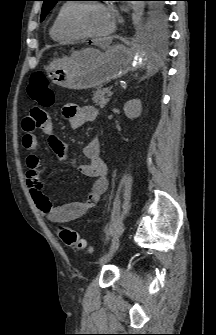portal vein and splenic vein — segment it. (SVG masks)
<instances>
[{
    "label": "portal vein and splenic vein",
    "mask_w": 216,
    "mask_h": 335,
    "mask_svg": "<svg viewBox=\"0 0 216 335\" xmlns=\"http://www.w3.org/2000/svg\"><path fill=\"white\" fill-rule=\"evenodd\" d=\"M112 95H113L112 91H109V93L107 94L108 97H112Z\"/></svg>",
    "instance_id": "18ae733b"
}]
</instances>
